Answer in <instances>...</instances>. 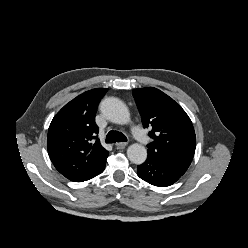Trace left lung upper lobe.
<instances>
[{"instance_id": "1", "label": "left lung upper lobe", "mask_w": 248, "mask_h": 248, "mask_svg": "<svg viewBox=\"0 0 248 248\" xmlns=\"http://www.w3.org/2000/svg\"><path fill=\"white\" fill-rule=\"evenodd\" d=\"M144 128L152 130L148 156L188 169L196 148L192 122L182 107L162 91L146 87L132 91Z\"/></svg>"}]
</instances>
